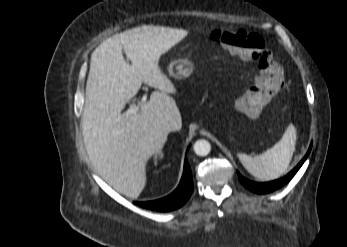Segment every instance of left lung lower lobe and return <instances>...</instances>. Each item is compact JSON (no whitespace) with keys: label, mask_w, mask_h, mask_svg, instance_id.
<instances>
[{"label":"left lung lower lobe","mask_w":347,"mask_h":247,"mask_svg":"<svg viewBox=\"0 0 347 247\" xmlns=\"http://www.w3.org/2000/svg\"><path fill=\"white\" fill-rule=\"evenodd\" d=\"M311 148H312V143L310 145V148H309L307 154L301 160V162L288 175H286L285 177H283L281 179L267 182V183H257V182H253V181H250V180L244 178L239 172H237L238 177H239L241 183L249 190H251L255 193H258V194L270 193V192L275 191V190L279 189L280 187L284 186L286 183H288L294 177V175L297 173V171L303 165L304 161L307 159V157L311 151Z\"/></svg>","instance_id":"1"}]
</instances>
